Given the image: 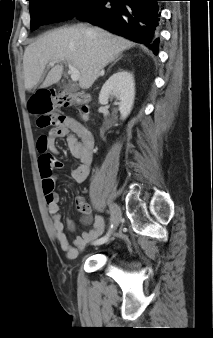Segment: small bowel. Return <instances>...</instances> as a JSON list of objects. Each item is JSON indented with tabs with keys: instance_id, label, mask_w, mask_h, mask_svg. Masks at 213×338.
<instances>
[{
	"instance_id": "small-bowel-1",
	"label": "small bowel",
	"mask_w": 213,
	"mask_h": 338,
	"mask_svg": "<svg viewBox=\"0 0 213 338\" xmlns=\"http://www.w3.org/2000/svg\"><path fill=\"white\" fill-rule=\"evenodd\" d=\"M64 136H67L69 152L80 162L79 166L72 172L74 180L84 182L89 175L93 158L94 137L81 122L72 117H65L61 126L51 129L47 134L38 136L36 140L39 152L38 166L43 187L46 182L53 184L55 180L53 170L62 167V162L57 159L59 151L55 142ZM44 196L55 239L68 259L77 258L84 251L88 243L103 234L105 230L103 218L97 215L92 228L76 237L73 244H70L65 233V225L61 220L59 193L53 187L49 191H45L44 188ZM75 206L77 210L83 213L89 212V205L82 197L76 198ZM84 223L88 224L89 221L84 220ZM68 229L69 231L74 230L72 222H68Z\"/></svg>"
}]
</instances>
